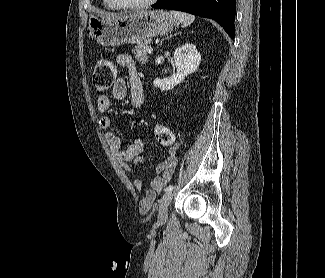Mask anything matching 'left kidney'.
<instances>
[{"label": "left kidney", "mask_w": 325, "mask_h": 278, "mask_svg": "<svg viewBox=\"0 0 325 278\" xmlns=\"http://www.w3.org/2000/svg\"><path fill=\"white\" fill-rule=\"evenodd\" d=\"M174 61L177 68L176 74L163 80L156 78L153 81V85L160 88L161 91L173 89L176 85L181 83L187 75L194 73L200 64L201 54L194 44L186 43L175 50Z\"/></svg>", "instance_id": "left-kidney-1"}]
</instances>
